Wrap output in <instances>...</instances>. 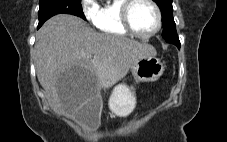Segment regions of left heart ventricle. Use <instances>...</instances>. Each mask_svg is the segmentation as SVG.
<instances>
[{"label":"left heart ventricle","mask_w":227,"mask_h":142,"mask_svg":"<svg viewBox=\"0 0 227 142\" xmlns=\"http://www.w3.org/2000/svg\"><path fill=\"white\" fill-rule=\"evenodd\" d=\"M131 22L139 33L148 34L157 26V15L148 2L139 0L132 8Z\"/></svg>","instance_id":"obj_1"}]
</instances>
